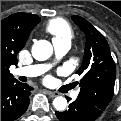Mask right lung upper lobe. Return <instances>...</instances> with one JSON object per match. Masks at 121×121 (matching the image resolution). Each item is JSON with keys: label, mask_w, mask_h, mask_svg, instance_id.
<instances>
[{"label": "right lung upper lobe", "mask_w": 121, "mask_h": 121, "mask_svg": "<svg viewBox=\"0 0 121 121\" xmlns=\"http://www.w3.org/2000/svg\"><path fill=\"white\" fill-rule=\"evenodd\" d=\"M39 22L40 17L28 13H15L1 21V82L14 79L9 67L18 63L17 53Z\"/></svg>", "instance_id": "1"}]
</instances>
